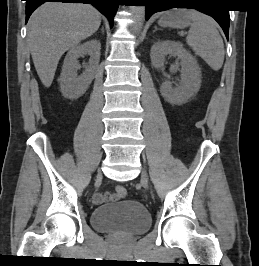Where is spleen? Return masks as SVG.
I'll return each mask as SVG.
<instances>
[{
  "label": "spleen",
  "mask_w": 259,
  "mask_h": 266,
  "mask_svg": "<svg viewBox=\"0 0 259 266\" xmlns=\"http://www.w3.org/2000/svg\"><path fill=\"white\" fill-rule=\"evenodd\" d=\"M184 10L192 20L186 43L214 71H218L223 65L225 51L215 21L199 11Z\"/></svg>",
  "instance_id": "spleen-1"
}]
</instances>
